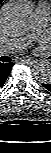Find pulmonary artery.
<instances>
[{"label": "pulmonary artery", "instance_id": "1", "mask_svg": "<svg viewBox=\"0 0 51 153\" xmlns=\"http://www.w3.org/2000/svg\"><path fill=\"white\" fill-rule=\"evenodd\" d=\"M50 12L51 8L49 5L40 4L34 12L31 33L26 37L5 41L0 45V51L4 53H13L25 48L28 42L47 26L50 19Z\"/></svg>", "mask_w": 51, "mask_h": 153}]
</instances>
